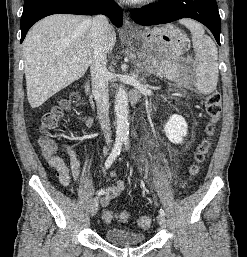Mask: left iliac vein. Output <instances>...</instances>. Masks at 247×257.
Returning <instances> with one entry per match:
<instances>
[{"instance_id":"left-iliac-vein-1","label":"left iliac vein","mask_w":247,"mask_h":257,"mask_svg":"<svg viewBox=\"0 0 247 257\" xmlns=\"http://www.w3.org/2000/svg\"><path fill=\"white\" fill-rule=\"evenodd\" d=\"M157 221L159 223V225L162 227V228H165L166 227V218L163 216V215H158L157 216Z\"/></svg>"}]
</instances>
